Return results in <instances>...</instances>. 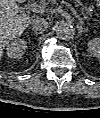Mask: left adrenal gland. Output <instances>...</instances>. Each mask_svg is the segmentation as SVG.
Masks as SVG:
<instances>
[{
	"label": "left adrenal gland",
	"mask_w": 100,
	"mask_h": 118,
	"mask_svg": "<svg viewBox=\"0 0 100 118\" xmlns=\"http://www.w3.org/2000/svg\"><path fill=\"white\" fill-rule=\"evenodd\" d=\"M78 28V35L81 36L83 32L87 31L88 28L87 27H83L81 24L77 25Z\"/></svg>",
	"instance_id": "a2214340"
}]
</instances>
